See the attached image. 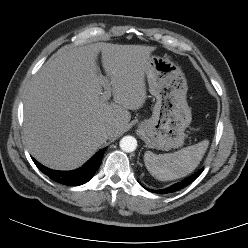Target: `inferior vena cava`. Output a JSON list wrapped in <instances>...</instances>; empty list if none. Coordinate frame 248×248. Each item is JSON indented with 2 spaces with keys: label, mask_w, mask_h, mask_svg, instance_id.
<instances>
[{
  "label": "inferior vena cava",
  "mask_w": 248,
  "mask_h": 248,
  "mask_svg": "<svg viewBox=\"0 0 248 248\" xmlns=\"http://www.w3.org/2000/svg\"><path fill=\"white\" fill-rule=\"evenodd\" d=\"M104 133L105 135L109 138V137H112L113 134L115 133V128L114 127H107L105 130H104Z\"/></svg>",
  "instance_id": "inferior-vena-cava-1"
}]
</instances>
